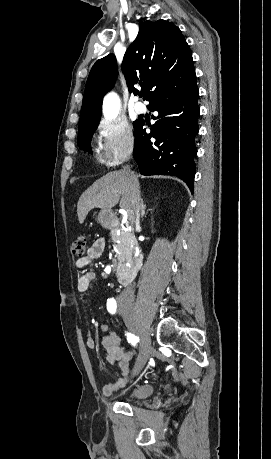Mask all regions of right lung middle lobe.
I'll list each match as a JSON object with an SVG mask.
<instances>
[{"mask_svg":"<svg viewBox=\"0 0 271 459\" xmlns=\"http://www.w3.org/2000/svg\"><path fill=\"white\" fill-rule=\"evenodd\" d=\"M100 118L89 119L79 122V130H78V146L82 150H86L89 153H92L90 141L94 131L98 126V122ZM140 122V120H136L133 122L134 127Z\"/></svg>","mask_w":271,"mask_h":459,"instance_id":"dd1d6c3e","label":"right lung middle lobe"}]
</instances>
